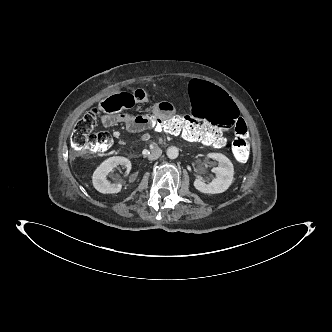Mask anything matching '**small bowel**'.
<instances>
[{
    "instance_id": "c3829d8e",
    "label": "small bowel",
    "mask_w": 332,
    "mask_h": 332,
    "mask_svg": "<svg viewBox=\"0 0 332 332\" xmlns=\"http://www.w3.org/2000/svg\"><path fill=\"white\" fill-rule=\"evenodd\" d=\"M131 98L138 104H146L149 100L148 94L142 88H136L131 93ZM154 111L155 116L161 115L163 119H173L175 117V107L172 103L167 101H161L154 103L151 108ZM98 123L107 128L125 127L129 132L140 133L151 129V125H145L141 123L142 119L140 114L134 112H111L108 114H100L98 116Z\"/></svg>"
}]
</instances>
